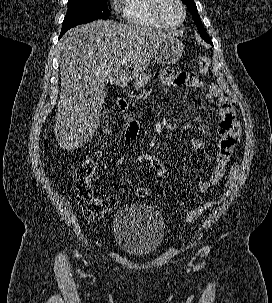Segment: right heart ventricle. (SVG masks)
I'll list each match as a JSON object with an SVG mask.
<instances>
[{
    "label": "right heart ventricle",
    "mask_w": 272,
    "mask_h": 303,
    "mask_svg": "<svg viewBox=\"0 0 272 303\" xmlns=\"http://www.w3.org/2000/svg\"><path fill=\"white\" fill-rule=\"evenodd\" d=\"M156 3L157 0H121L120 6L128 23L139 27L163 29L165 26L155 14Z\"/></svg>",
    "instance_id": "1"
}]
</instances>
